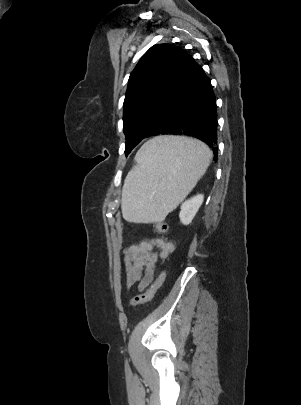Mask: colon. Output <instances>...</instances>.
<instances>
[{
  "label": "colon",
  "mask_w": 301,
  "mask_h": 405,
  "mask_svg": "<svg viewBox=\"0 0 301 405\" xmlns=\"http://www.w3.org/2000/svg\"><path fill=\"white\" fill-rule=\"evenodd\" d=\"M154 226L157 229V231L162 234L167 233L169 230V226L164 222H158ZM164 280H165V271L162 270L159 273L157 279L151 284V286L144 293L136 295L130 300V305L132 307H135L149 302L154 297L157 290L161 287Z\"/></svg>",
  "instance_id": "obj_1"
}]
</instances>
